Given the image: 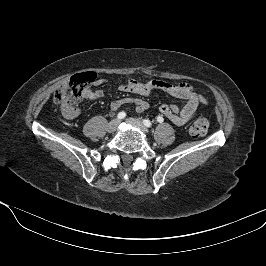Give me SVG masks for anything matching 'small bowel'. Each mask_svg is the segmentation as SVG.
<instances>
[{
  "label": "small bowel",
  "instance_id": "c3829d8e",
  "mask_svg": "<svg viewBox=\"0 0 266 266\" xmlns=\"http://www.w3.org/2000/svg\"><path fill=\"white\" fill-rule=\"evenodd\" d=\"M107 83L104 79H97L96 86ZM118 90L128 92L141 96H148L154 91H163L174 97L180 98L185 101L182 106L175 104L161 105L159 111L162 116L167 118L173 124L182 126L188 123L197 113V108L201 104H207V100L197 93L194 88L188 83L172 84L166 81L153 79L149 81H139L137 79H129L127 82L120 84ZM84 96L87 100L94 101L103 97V91L98 88L86 89ZM133 104L137 112H143L149 108V104L139 98H121L111 102L110 107L112 110H117L123 105ZM80 110L76 107L70 111L63 110L66 118H75L79 115Z\"/></svg>",
  "mask_w": 266,
  "mask_h": 266
}]
</instances>
